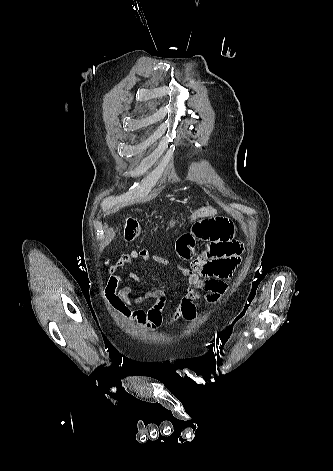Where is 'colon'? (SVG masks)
I'll return each mask as SVG.
<instances>
[{
  "instance_id": "1",
  "label": "colon",
  "mask_w": 333,
  "mask_h": 471,
  "mask_svg": "<svg viewBox=\"0 0 333 471\" xmlns=\"http://www.w3.org/2000/svg\"><path fill=\"white\" fill-rule=\"evenodd\" d=\"M216 209L212 206L201 207L197 209L193 214V218L209 217L216 215ZM174 223V222H172ZM142 233V228L139 223L134 219H127L124 223V238L128 241H132L139 237Z\"/></svg>"
}]
</instances>
